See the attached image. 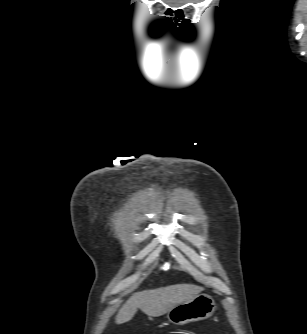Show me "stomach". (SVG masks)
<instances>
[{"label":"stomach","instance_id":"0dacf381","mask_svg":"<svg viewBox=\"0 0 307 334\" xmlns=\"http://www.w3.org/2000/svg\"><path fill=\"white\" fill-rule=\"evenodd\" d=\"M215 311V302L208 294H199L180 303L167 312L168 320L176 325L207 319Z\"/></svg>","mask_w":307,"mask_h":334}]
</instances>
